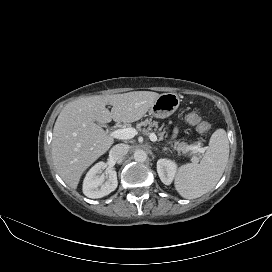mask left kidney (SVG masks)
I'll list each match as a JSON object with an SVG mask.
<instances>
[{"label": "left kidney", "instance_id": "1", "mask_svg": "<svg viewBox=\"0 0 272 272\" xmlns=\"http://www.w3.org/2000/svg\"><path fill=\"white\" fill-rule=\"evenodd\" d=\"M177 165L175 162L167 159H159L157 161V173L160 180L165 185H170L176 175Z\"/></svg>", "mask_w": 272, "mask_h": 272}]
</instances>
